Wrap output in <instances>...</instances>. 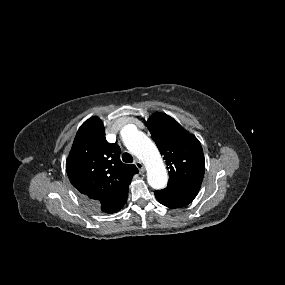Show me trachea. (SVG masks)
Segmentation results:
<instances>
[{
    "label": "trachea",
    "instance_id": "1",
    "mask_svg": "<svg viewBox=\"0 0 285 285\" xmlns=\"http://www.w3.org/2000/svg\"><path fill=\"white\" fill-rule=\"evenodd\" d=\"M122 160L125 162V163H132L133 162V157L131 156V154L129 153H123L122 155Z\"/></svg>",
    "mask_w": 285,
    "mask_h": 285
}]
</instances>
